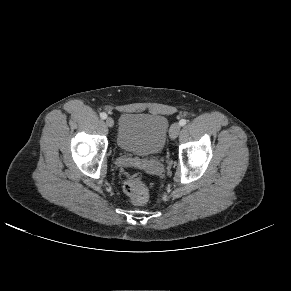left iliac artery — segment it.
<instances>
[{"label":"left iliac artery","mask_w":291,"mask_h":291,"mask_svg":"<svg viewBox=\"0 0 291 291\" xmlns=\"http://www.w3.org/2000/svg\"><path fill=\"white\" fill-rule=\"evenodd\" d=\"M186 119H181L180 121H179V124H180V126H184V125H186Z\"/></svg>","instance_id":"44dca946"}]
</instances>
